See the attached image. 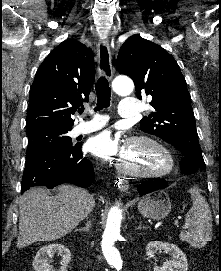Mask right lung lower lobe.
<instances>
[{"label": "right lung lower lobe", "mask_w": 221, "mask_h": 271, "mask_svg": "<svg viewBox=\"0 0 221 271\" xmlns=\"http://www.w3.org/2000/svg\"><path fill=\"white\" fill-rule=\"evenodd\" d=\"M92 163L82 154L81 144L70 150L43 152L26 159L21 194L31 187L53 188L62 183L89 187L94 182Z\"/></svg>", "instance_id": "right-lung-lower-lobe-1"}]
</instances>
